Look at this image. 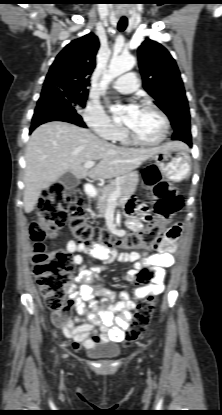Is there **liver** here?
Listing matches in <instances>:
<instances>
[{
  "label": "liver",
  "mask_w": 222,
  "mask_h": 415,
  "mask_svg": "<svg viewBox=\"0 0 222 415\" xmlns=\"http://www.w3.org/2000/svg\"><path fill=\"white\" fill-rule=\"evenodd\" d=\"M168 147H183L182 142H171ZM160 147L123 148L104 141L89 130L60 121L40 125L30 136L26 148L24 175V210L30 213L41 192L54 184L63 174L71 172L76 178L109 179L138 168L158 153ZM99 160L90 169L88 161Z\"/></svg>",
  "instance_id": "1"
}]
</instances>
